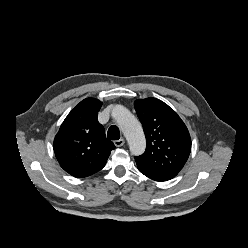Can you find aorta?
<instances>
[{
  "mask_svg": "<svg viewBox=\"0 0 248 248\" xmlns=\"http://www.w3.org/2000/svg\"><path fill=\"white\" fill-rule=\"evenodd\" d=\"M112 116L127 139L130 152L136 156L141 155L146 148V139L140 122L122 105L113 108Z\"/></svg>",
  "mask_w": 248,
  "mask_h": 248,
  "instance_id": "obj_1",
  "label": "aorta"
}]
</instances>
